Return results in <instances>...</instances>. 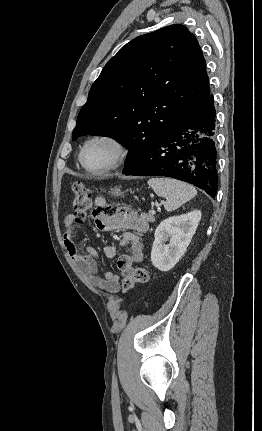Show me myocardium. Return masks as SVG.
Segmentation results:
<instances>
[{
    "mask_svg": "<svg viewBox=\"0 0 262 431\" xmlns=\"http://www.w3.org/2000/svg\"><path fill=\"white\" fill-rule=\"evenodd\" d=\"M99 141H104V142H108L110 143L113 148H114V157L112 162L102 168V169H98V170H93L88 168L85 164H84V154L87 150V148L94 142H99ZM129 149L127 144L123 141V139H121L120 137H118L117 135L114 134H110V133H102V134H97L94 135L92 137H90L82 146L80 152H79V162L82 166V168L88 172L91 175H103V174H107L109 172H112L114 170H117L118 168H120V166L125 162L127 155H128Z\"/></svg>",
    "mask_w": 262,
    "mask_h": 431,
    "instance_id": "1",
    "label": "myocardium"
}]
</instances>
